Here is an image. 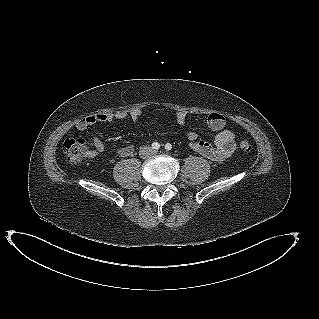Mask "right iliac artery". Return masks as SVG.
<instances>
[{
	"label": "right iliac artery",
	"instance_id": "1",
	"mask_svg": "<svg viewBox=\"0 0 319 319\" xmlns=\"http://www.w3.org/2000/svg\"><path fill=\"white\" fill-rule=\"evenodd\" d=\"M152 148L158 150L160 148V144L158 142L152 143Z\"/></svg>",
	"mask_w": 319,
	"mask_h": 319
}]
</instances>
